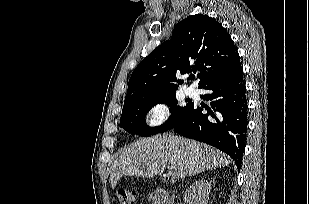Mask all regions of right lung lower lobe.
I'll list each match as a JSON object with an SVG mask.
<instances>
[{
  "mask_svg": "<svg viewBox=\"0 0 309 204\" xmlns=\"http://www.w3.org/2000/svg\"><path fill=\"white\" fill-rule=\"evenodd\" d=\"M209 92L201 97L210 100L213 110L191 104L174 131L222 150L241 168L247 133V98L243 68L214 79L202 87Z\"/></svg>",
  "mask_w": 309,
  "mask_h": 204,
  "instance_id": "98d812e1",
  "label": "right lung lower lobe"
}]
</instances>
